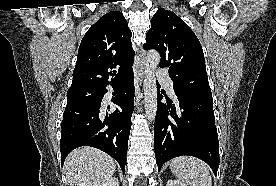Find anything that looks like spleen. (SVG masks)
Wrapping results in <instances>:
<instances>
[{"mask_svg": "<svg viewBox=\"0 0 276 186\" xmlns=\"http://www.w3.org/2000/svg\"><path fill=\"white\" fill-rule=\"evenodd\" d=\"M170 169L178 179L189 186H212L207 165L191 156H182L170 161Z\"/></svg>", "mask_w": 276, "mask_h": 186, "instance_id": "spleen-1", "label": "spleen"}]
</instances>
